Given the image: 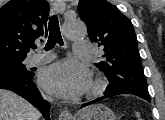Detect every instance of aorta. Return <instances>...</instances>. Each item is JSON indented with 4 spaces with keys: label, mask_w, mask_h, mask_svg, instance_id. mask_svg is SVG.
Listing matches in <instances>:
<instances>
[{
    "label": "aorta",
    "mask_w": 165,
    "mask_h": 120,
    "mask_svg": "<svg viewBox=\"0 0 165 120\" xmlns=\"http://www.w3.org/2000/svg\"><path fill=\"white\" fill-rule=\"evenodd\" d=\"M64 35L69 39H80L87 33L83 21L78 18L66 20L63 25Z\"/></svg>",
    "instance_id": "obj_1"
}]
</instances>
